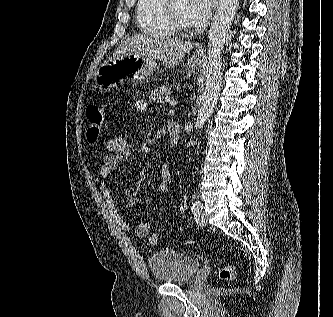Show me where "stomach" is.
Returning a JSON list of instances; mask_svg holds the SVG:
<instances>
[{
  "label": "stomach",
  "instance_id": "obj_1",
  "mask_svg": "<svg viewBox=\"0 0 333 317\" xmlns=\"http://www.w3.org/2000/svg\"><path fill=\"white\" fill-rule=\"evenodd\" d=\"M199 63L200 60L196 56L189 60V74L198 68ZM157 69L156 61L139 54L111 58L98 68L95 73V83L100 90L107 92L115 88L124 78L133 83L148 80Z\"/></svg>",
  "mask_w": 333,
  "mask_h": 317
}]
</instances>
